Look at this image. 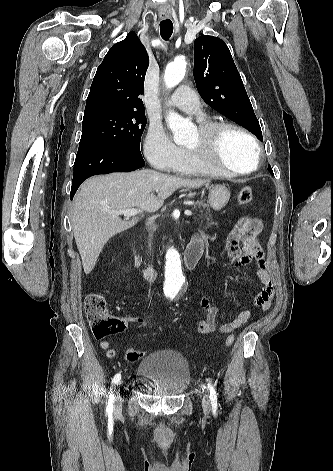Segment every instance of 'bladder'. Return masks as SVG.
Returning a JSON list of instances; mask_svg holds the SVG:
<instances>
[{"label": "bladder", "instance_id": "bladder-1", "mask_svg": "<svg viewBox=\"0 0 333 471\" xmlns=\"http://www.w3.org/2000/svg\"><path fill=\"white\" fill-rule=\"evenodd\" d=\"M137 377L151 382L152 392L160 397H178L191 383L188 361L179 352L159 350L144 357Z\"/></svg>", "mask_w": 333, "mask_h": 471}]
</instances>
